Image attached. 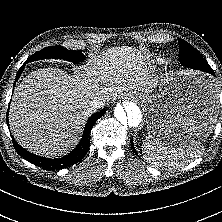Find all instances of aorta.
<instances>
[{
  "label": "aorta",
  "instance_id": "762f6f07",
  "mask_svg": "<svg viewBox=\"0 0 222 222\" xmlns=\"http://www.w3.org/2000/svg\"><path fill=\"white\" fill-rule=\"evenodd\" d=\"M114 117L123 127H137L142 121V112L133 101H125L114 108Z\"/></svg>",
  "mask_w": 222,
  "mask_h": 222
}]
</instances>
